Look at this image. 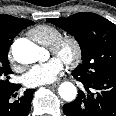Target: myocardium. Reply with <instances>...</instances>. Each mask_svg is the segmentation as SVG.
<instances>
[{
	"instance_id": "f54148a6",
	"label": "myocardium",
	"mask_w": 116,
	"mask_h": 116,
	"mask_svg": "<svg viewBox=\"0 0 116 116\" xmlns=\"http://www.w3.org/2000/svg\"><path fill=\"white\" fill-rule=\"evenodd\" d=\"M50 50L71 66L79 64L83 56L81 43L74 36H62L50 46Z\"/></svg>"
}]
</instances>
